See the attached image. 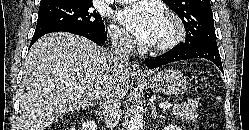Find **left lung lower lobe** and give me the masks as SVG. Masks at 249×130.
<instances>
[{
  "mask_svg": "<svg viewBox=\"0 0 249 130\" xmlns=\"http://www.w3.org/2000/svg\"><path fill=\"white\" fill-rule=\"evenodd\" d=\"M192 58H205L212 61L223 72L221 57L217 45L198 43L192 45H179L165 54L152 59H146L148 68L153 69L174 61Z\"/></svg>",
  "mask_w": 249,
  "mask_h": 130,
  "instance_id": "0a47b994",
  "label": "left lung lower lobe"
}]
</instances>
